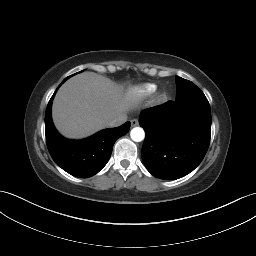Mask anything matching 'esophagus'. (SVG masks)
I'll return each instance as SVG.
<instances>
[{
    "label": "esophagus",
    "instance_id": "34e87169",
    "mask_svg": "<svg viewBox=\"0 0 256 256\" xmlns=\"http://www.w3.org/2000/svg\"><path fill=\"white\" fill-rule=\"evenodd\" d=\"M137 125H138V120H137V119L131 120V126H132V127H135V126H137Z\"/></svg>",
    "mask_w": 256,
    "mask_h": 256
}]
</instances>
